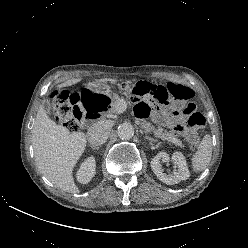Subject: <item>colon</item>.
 Here are the masks:
<instances>
[{"label":"colon","mask_w":248,"mask_h":248,"mask_svg":"<svg viewBox=\"0 0 248 248\" xmlns=\"http://www.w3.org/2000/svg\"><path fill=\"white\" fill-rule=\"evenodd\" d=\"M121 88L128 92L138 104L147 102L153 105L173 106L188 116V142L192 149L198 146L199 138L195 131L204 126L205 118L190 101L193 96L190 88L174 83H169L167 86H155L145 82H138L133 86L124 83ZM51 101L57 121L70 131H77L85 111L79 98L67 90H57L52 93Z\"/></svg>","instance_id":"obj_1"}]
</instances>
